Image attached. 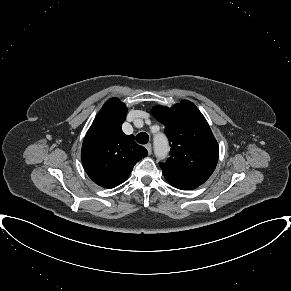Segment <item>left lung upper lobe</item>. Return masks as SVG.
<instances>
[{
    "mask_svg": "<svg viewBox=\"0 0 291 291\" xmlns=\"http://www.w3.org/2000/svg\"><path fill=\"white\" fill-rule=\"evenodd\" d=\"M152 115L165 125L170 140V157L160 163L166 178L200 186L217 165L219 147L198 108L182 100L171 108L155 106Z\"/></svg>",
    "mask_w": 291,
    "mask_h": 291,
    "instance_id": "1",
    "label": "left lung upper lobe"
}]
</instances>
